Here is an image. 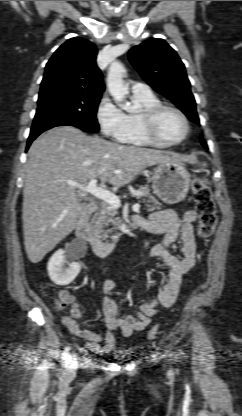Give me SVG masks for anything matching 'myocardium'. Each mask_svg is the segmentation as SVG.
I'll return each instance as SVG.
<instances>
[{
    "label": "myocardium",
    "mask_w": 242,
    "mask_h": 416,
    "mask_svg": "<svg viewBox=\"0 0 242 416\" xmlns=\"http://www.w3.org/2000/svg\"><path fill=\"white\" fill-rule=\"evenodd\" d=\"M165 111H172L176 113L181 118L184 124V133L177 140H166L157 131L156 125H157L158 118ZM141 122H142V127L146 136L149 139H151L153 142L162 146L178 145L187 138L188 133H189V122H188L186 115L179 108L172 106V105L158 104L156 106L143 110L141 112Z\"/></svg>",
    "instance_id": "1"
}]
</instances>
